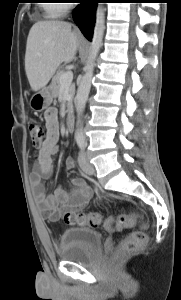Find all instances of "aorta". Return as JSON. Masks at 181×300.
Wrapping results in <instances>:
<instances>
[{
	"mask_svg": "<svg viewBox=\"0 0 181 300\" xmlns=\"http://www.w3.org/2000/svg\"><path fill=\"white\" fill-rule=\"evenodd\" d=\"M105 31V8L102 3H99L96 10V21L93 32V38L90 45L89 56L87 64L85 66V74L83 75L81 82L78 86L77 95H76V105L79 116H82V113L85 109L86 102L88 100L91 83L93 79L95 61L102 47V40ZM76 139H82L83 133L81 129V122L78 121L77 130L75 133Z\"/></svg>",
	"mask_w": 181,
	"mask_h": 300,
	"instance_id": "1",
	"label": "aorta"
}]
</instances>
